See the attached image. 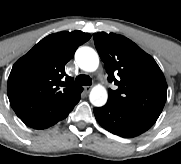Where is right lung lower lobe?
Instances as JSON below:
<instances>
[{"label": "right lung lower lobe", "mask_w": 181, "mask_h": 164, "mask_svg": "<svg viewBox=\"0 0 181 164\" xmlns=\"http://www.w3.org/2000/svg\"><path fill=\"white\" fill-rule=\"evenodd\" d=\"M78 101L76 103H78ZM75 104L72 107H70L68 110H66L63 114L59 115L58 117L52 118V119L31 118V119H22V121L27 126L34 128V129L48 128V127L56 124L58 121L66 118L68 116V114L70 113V111L74 108Z\"/></svg>", "instance_id": "1"}]
</instances>
